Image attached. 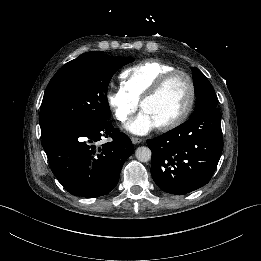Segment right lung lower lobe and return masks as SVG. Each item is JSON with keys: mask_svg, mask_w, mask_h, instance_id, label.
I'll return each mask as SVG.
<instances>
[{"mask_svg": "<svg viewBox=\"0 0 261 261\" xmlns=\"http://www.w3.org/2000/svg\"><path fill=\"white\" fill-rule=\"evenodd\" d=\"M102 138L112 140L97 148ZM51 170L72 195L95 198L108 194L133 153L130 138L109 120L95 124H69L42 137Z\"/></svg>", "mask_w": 261, "mask_h": 261, "instance_id": "obj_1", "label": "right lung lower lobe"}]
</instances>
